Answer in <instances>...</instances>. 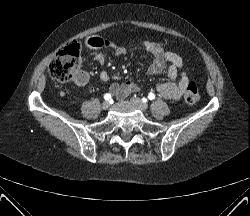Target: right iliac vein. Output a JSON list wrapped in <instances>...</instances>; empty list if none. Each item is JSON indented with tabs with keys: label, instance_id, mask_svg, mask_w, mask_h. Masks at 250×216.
I'll list each match as a JSON object with an SVG mask.
<instances>
[{
	"label": "right iliac vein",
	"instance_id": "right-iliac-vein-1",
	"mask_svg": "<svg viewBox=\"0 0 250 216\" xmlns=\"http://www.w3.org/2000/svg\"><path fill=\"white\" fill-rule=\"evenodd\" d=\"M109 107H110V103L108 101H105V102L102 103V108L104 110H107Z\"/></svg>",
	"mask_w": 250,
	"mask_h": 216
}]
</instances>
